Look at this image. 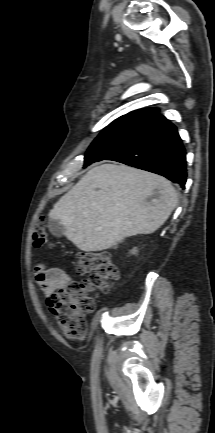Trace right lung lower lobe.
I'll use <instances>...</instances> for the list:
<instances>
[{
    "label": "right lung lower lobe",
    "mask_w": 215,
    "mask_h": 433,
    "mask_svg": "<svg viewBox=\"0 0 215 433\" xmlns=\"http://www.w3.org/2000/svg\"><path fill=\"white\" fill-rule=\"evenodd\" d=\"M185 154L176 127L163 115H155L129 144L104 160L162 175L184 188L187 177Z\"/></svg>",
    "instance_id": "obj_1"
}]
</instances>
